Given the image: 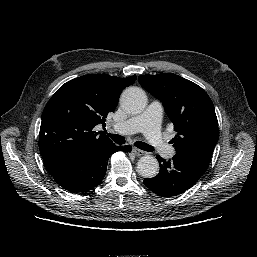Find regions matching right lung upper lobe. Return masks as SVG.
I'll use <instances>...</instances> for the list:
<instances>
[{
  "label": "right lung upper lobe",
  "instance_id": "obj_1",
  "mask_svg": "<svg viewBox=\"0 0 257 257\" xmlns=\"http://www.w3.org/2000/svg\"><path fill=\"white\" fill-rule=\"evenodd\" d=\"M135 78L84 75L62 85L50 98L39 133V149L50 175L113 144L107 136H98L94 127L105 124L122 90Z\"/></svg>",
  "mask_w": 257,
  "mask_h": 257
}]
</instances>
